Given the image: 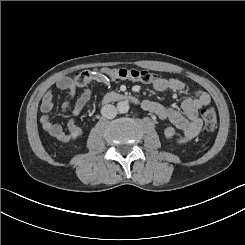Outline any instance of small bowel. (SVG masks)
<instances>
[{
	"instance_id": "c3829d8e",
	"label": "small bowel",
	"mask_w": 245,
	"mask_h": 245,
	"mask_svg": "<svg viewBox=\"0 0 245 245\" xmlns=\"http://www.w3.org/2000/svg\"><path fill=\"white\" fill-rule=\"evenodd\" d=\"M108 69L100 70L105 72ZM99 81H108L107 77L98 79ZM153 88L157 91L171 90L174 92H182L186 89L183 81L177 78H158L153 84ZM56 87L61 90H68L69 99L62 104V110L69 114L67 122L68 132H66L60 124L52 122L49 113L53 106V90L48 89L44 92L40 110V123L42 128L53 138L60 142H68L73 136H81L82 130L77 126L74 116L78 115L91 97V90L85 88L81 95L77 98L75 104L71 106V99L75 94V82L69 77L60 78L56 82ZM211 98L205 91H197L194 96L184 99L181 103L183 113H180L174 108L166 107L160 103L145 101L144 108L159 119L166 121L167 126L164 130V135L167 139L174 140L178 144H185L195 138L201 128L202 120L199 118L198 112L203 107L210 103ZM177 130L181 134H177Z\"/></svg>"
}]
</instances>
